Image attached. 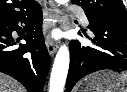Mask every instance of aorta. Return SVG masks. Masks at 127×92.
<instances>
[{"label": "aorta", "mask_w": 127, "mask_h": 92, "mask_svg": "<svg viewBox=\"0 0 127 92\" xmlns=\"http://www.w3.org/2000/svg\"><path fill=\"white\" fill-rule=\"evenodd\" d=\"M65 4L68 0H56ZM70 63L69 49L66 45L60 47L54 60L50 76L49 92H63Z\"/></svg>", "instance_id": "obj_1"}]
</instances>
